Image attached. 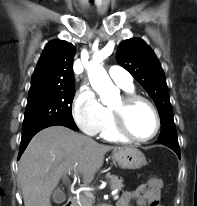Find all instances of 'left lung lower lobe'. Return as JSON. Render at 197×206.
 Listing matches in <instances>:
<instances>
[{"instance_id":"0a47b994","label":"left lung lower lobe","mask_w":197,"mask_h":206,"mask_svg":"<svg viewBox=\"0 0 197 206\" xmlns=\"http://www.w3.org/2000/svg\"><path fill=\"white\" fill-rule=\"evenodd\" d=\"M157 143H160V144H163L169 147L170 149L175 151L178 157L180 158V148H179L178 141H157Z\"/></svg>"}]
</instances>
